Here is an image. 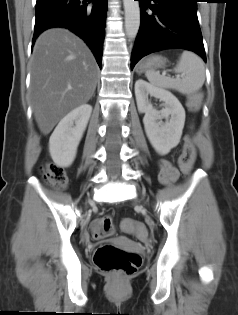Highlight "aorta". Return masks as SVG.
Listing matches in <instances>:
<instances>
[{"label":"aorta","mask_w":238,"mask_h":315,"mask_svg":"<svg viewBox=\"0 0 238 315\" xmlns=\"http://www.w3.org/2000/svg\"><path fill=\"white\" fill-rule=\"evenodd\" d=\"M125 11V32L129 39H135L140 27L139 2L123 0Z\"/></svg>","instance_id":"aorta-1"}]
</instances>
